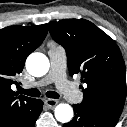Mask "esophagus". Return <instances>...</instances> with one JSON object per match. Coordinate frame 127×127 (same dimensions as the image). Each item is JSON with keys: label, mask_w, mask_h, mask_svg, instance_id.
I'll use <instances>...</instances> for the list:
<instances>
[{"label": "esophagus", "mask_w": 127, "mask_h": 127, "mask_svg": "<svg viewBox=\"0 0 127 127\" xmlns=\"http://www.w3.org/2000/svg\"><path fill=\"white\" fill-rule=\"evenodd\" d=\"M44 103L48 107V109H54L55 106L59 103V101L55 99H47L44 101Z\"/></svg>", "instance_id": "esophagus-1"}]
</instances>
